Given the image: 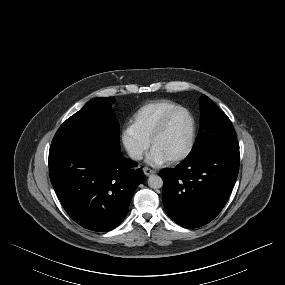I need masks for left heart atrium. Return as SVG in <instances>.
Masks as SVG:
<instances>
[{
  "label": "left heart atrium",
  "instance_id": "left-heart-atrium-1",
  "mask_svg": "<svg viewBox=\"0 0 285 285\" xmlns=\"http://www.w3.org/2000/svg\"><path fill=\"white\" fill-rule=\"evenodd\" d=\"M146 161L151 165L159 166L167 162V159L164 157L162 153L153 148L150 151V153L147 155Z\"/></svg>",
  "mask_w": 285,
  "mask_h": 285
}]
</instances>
